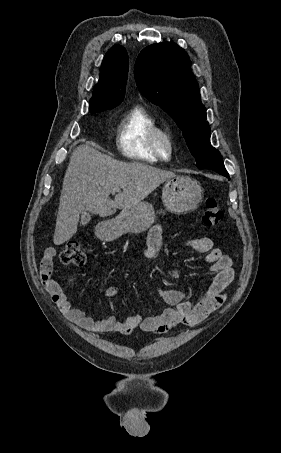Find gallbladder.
Segmentation results:
<instances>
[{
  "instance_id": "1",
  "label": "gallbladder",
  "mask_w": 281,
  "mask_h": 453,
  "mask_svg": "<svg viewBox=\"0 0 281 453\" xmlns=\"http://www.w3.org/2000/svg\"><path fill=\"white\" fill-rule=\"evenodd\" d=\"M89 220H91V214H88V212H85V214H82L81 224L83 226H86L88 224Z\"/></svg>"
}]
</instances>
